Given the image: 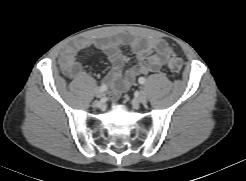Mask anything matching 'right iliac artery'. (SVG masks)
I'll return each mask as SVG.
<instances>
[{
  "mask_svg": "<svg viewBox=\"0 0 246 181\" xmlns=\"http://www.w3.org/2000/svg\"><path fill=\"white\" fill-rule=\"evenodd\" d=\"M100 89H101V91H106V90H107V86L104 85V84H102V85L100 86Z\"/></svg>",
  "mask_w": 246,
  "mask_h": 181,
  "instance_id": "obj_1",
  "label": "right iliac artery"
}]
</instances>
